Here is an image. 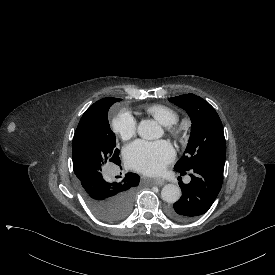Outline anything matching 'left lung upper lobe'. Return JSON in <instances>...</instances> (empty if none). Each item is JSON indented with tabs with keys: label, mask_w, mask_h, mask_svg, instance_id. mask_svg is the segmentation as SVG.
<instances>
[{
	"label": "left lung upper lobe",
	"mask_w": 275,
	"mask_h": 275,
	"mask_svg": "<svg viewBox=\"0 0 275 275\" xmlns=\"http://www.w3.org/2000/svg\"><path fill=\"white\" fill-rule=\"evenodd\" d=\"M169 101L185 109L192 121L188 145L174 169L189 171L204 165L224 168L226 143L222 123L215 109L194 94L172 97Z\"/></svg>",
	"instance_id": "5c2ea615"
}]
</instances>
